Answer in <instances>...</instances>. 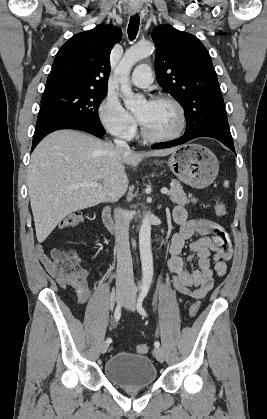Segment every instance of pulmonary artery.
<instances>
[{
	"mask_svg": "<svg viewBox=\"0 0 267 419\" xmlns=\"http://www.w3.org/2000/svg\"><path fill=\"white\" fill-rule=\"evenodd\" d=\"M153 81L151 68L142 64L135 68L131 76V82L137 87L145 88Z\"/></svg>",
	"mask_w": 267,
	"mask_h": 419,
	"instance_id": "obj_1",
	"label": "pulmonary artery"
}]
</instances>
